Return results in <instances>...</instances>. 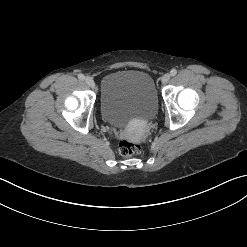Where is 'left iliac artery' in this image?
Returning a JSON list of instances; mask_svg holds the SVG:
<instances>
[{
	"mask_svg": "<svg viewBox=\"0 0 247 247\" xmlns=\"http://www.w3.org/2000/svg\"><path fill=\"white\" fill-rule=\"evenodd\" d=\"M170 74H171V76H175L177 74V70L176 69H172L170 71Z\"/></svg>",
	"mask_w": 247,
	"mask_h": 247,
	"instance_id": "left-iliac-artery-1",
	"label": "left iliac artery"
}]
</instances>
